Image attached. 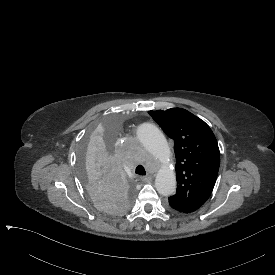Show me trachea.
<instances>
[{"mask_svg":"<svg viewBox=\"0 0 275 275\" xmlns=\"http://www.w3.org/2000/svg\"><path fill=\"white\" fill-rule=\"evenodd\" d=\"M138 175H146L145 168L142 165L136 167L135 171Z\"/></svg>","mask_w":275,"mask_h":275,"instance_id":"trachea-1","label":"trachea"}]
</instances>
